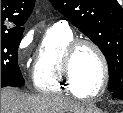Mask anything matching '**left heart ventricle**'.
<instances>
[{"instance_id": "b2bd125f", "label": "left heart ventricle", "mask_w": 123, "mask_h": 113, "mask_svg": "<svg viewBox=\"0 0 123 113\" xmlns=\"http://www.w3.org/2000/svg\"><path fill=\"white\" fill-rule=\"evenodd\" d=\"M72 72L79 90L92 93L98 89L103 78V68L97 53L89 46H83L76 54Z\"/></svg>"}]
</instances>
